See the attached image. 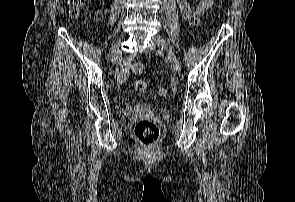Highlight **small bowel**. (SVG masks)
I'll list each match as a JSON object with an SVG mask.
<instances>
[{"label": "small bowel", "mask_w": 295, "mask_h": 202, "mask_svg": "<svg viewBox=\"0 0 295 202\" xmlns=\"http://www.w3.org/2000/svg\"><path fill=\"white\" fill-rule=\"evenodd\" d=\"M179 7L184 15V17L189 20L196 22L200 15L209 10L213 5V0H201L192 10L186 0H178ZM129 61L122 63L118 69L117 73V86H124V82L128 73Z\"/></svg>", "instance_id": "small-bowel-1"}]
</instances>
